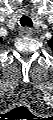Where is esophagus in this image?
Listing matches in <instances>:
<instances>
[{
  "label": "esophagus",
  "mask_w": 53,
  "mask_h": 120,
  "mask_svg": "<svg viewBox=\"0 0 53 120\" xmlns=\"http://www.w3.org/2000/svg\"><path fill=\"white\" fill-rule=\"evenodd\" d=\"M21 36H31L32 35V29L29 27H25L20 32Z\"/></svg>",
  "instance_id": "esophagus-1"
}]
</instances>
